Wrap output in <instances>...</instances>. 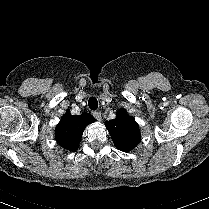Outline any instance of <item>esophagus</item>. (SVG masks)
<instances>
[{
    "mask_svg": "<svg viewBox=\"0 0 209 209\" xmlns=\"http://www.w3.org/2000/svg\"><path fill=\"white\" fill-rule=\"evenodd\" d=\"M93 116L96 118V120L101 121L102 117H101V113L100 112H93Z\"/></svg>",
    "mask_w": 209,
    "mask_h": 209,
    "instance_id": "obj_1",
    "label": "esophagus"
}]
</instances>
